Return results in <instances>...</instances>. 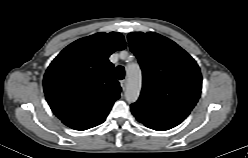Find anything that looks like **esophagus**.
Instances as JSON below:
<instances>
[{"mask_svg":"<svg viewBox=\"0 0 248 158\" xmlns=\"http://www.w3.org/2000/svg\"><path fill=\"white\" fill-rule=\"evenodd\" d=\"M120 85H121V88H122L123 90H125V89H126V86H127V80H126V79L122 80V81L120 82Z\"/></svg>","mask_w":248,"mask_h":158,"instance_id":"34e87169","label":"esophagus"}]
</instances>
